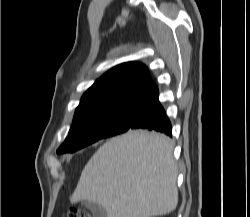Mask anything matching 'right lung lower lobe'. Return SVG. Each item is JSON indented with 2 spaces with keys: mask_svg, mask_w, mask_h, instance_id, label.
<instances>
[{
  "mask_svg": "<svg viewBox=\"0 0 250 217\" xmlns=\"http://www.w3.org/2000/svg\"><path fill=\"white\" fill-rule=\"evenodd\" d=\"M158 96L159 93L156 92L140 105L130 129H146L172 136L171 122L160 104Z\"/></svg>",
  "mask_w": 250,
  "mask_h": 217,
  "instance_id": "obj_1",
  "label": "right lung lower lobe"
}]
</instances>
